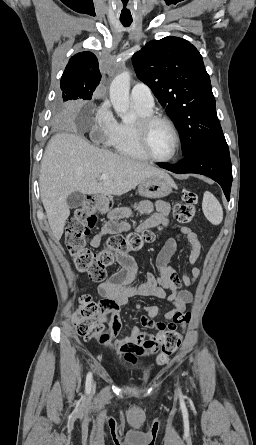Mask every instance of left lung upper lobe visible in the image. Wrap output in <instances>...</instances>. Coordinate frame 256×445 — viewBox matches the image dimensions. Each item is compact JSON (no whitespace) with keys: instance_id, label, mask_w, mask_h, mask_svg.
<instances>
[{"instance_id":"5c2ea615","label":"left lung upper lobe","mask_w":256,"mask_h":445,"mask_svg":"<svg viewBox=\"0 0 256 445\" xmlns=\"http://www.w3.org/2000/svg\"><path fill=\"white\" fill-rule=\"evenodd\" d=\"M132 62L137 77L174 121L184 157L202 146L226 143L209 75L190 42L178 37L151 41L133 55Z\"/></svg>"}]
</instances>
